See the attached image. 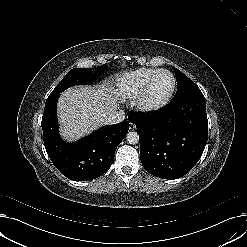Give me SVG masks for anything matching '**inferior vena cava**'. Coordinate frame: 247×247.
Listing matches in <instances>:
<instances>
[{
    "instance_id": "obj_1",
    "label": "inferior vena cava",
    "mask_w": 247,
    "mask_h": 247,
    "mask_svg": "<svg viewBox=\"0 0 247 247\" xmlns=\"http://www.w3.org/2000/svg\"><path fill=\"white\" fill-rule=\"evenodd\" d=\"M125 113L123 110H115L107 114L105 123L108 125L117 124L124 120Z\"/></svg>"
}]
</instances>
